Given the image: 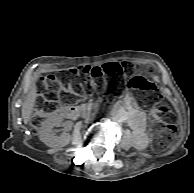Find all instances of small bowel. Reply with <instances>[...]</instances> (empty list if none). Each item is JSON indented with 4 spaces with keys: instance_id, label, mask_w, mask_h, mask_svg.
<instances>
[{
    "instance_id": "obj_1",
    "label": "small bowel",
    "mask_w": 194,
    "mask_h": 193,
    "mask_svg": "<svg viewBox=\"0 0 194 193\" xmlns=\"http://www.w3.org/2000/svg\"><path fill=\"white\" fill-rule=\"evenodd\" d=\"M124 103L130 126L136 131H144L147 121L145 113L136 107L135 102L129 95L125 96Z\"/></svg>"
}]
</instances>
